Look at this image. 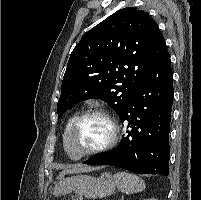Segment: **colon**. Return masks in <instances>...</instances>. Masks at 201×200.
Masks as SVG:
<instances>
[{
    "instance_id": "obj_1",
    "label": "colon",
    "mask_w": 201,
    "mask_h": 200,
    "mask_svg": "<svg viewBox=\"0 0 201 200\" xmlns=\"http://www.w3.org/2000/svg\"><path fill=\"white\" fill-rule=\"evenodd\" d=\"M71 200H82L81 196L78 195V194H75L72 196V199Z\"/></svg>"
}]
</instances>
